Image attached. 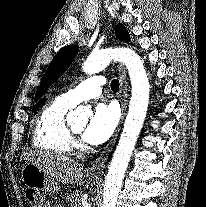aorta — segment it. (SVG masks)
<instances>
[{"instance_id":"aorta-1","label":"aorta","mask_w":206,"mask_h":207,"mask_svg":"<svg viewBox=\"0 0 206 207\" xmlns=\"http://www.w3.org/2000/svg\"><path fill=\"white\" fill-rule=\"evenodd\" d=\"M113 59L126 65L131 80L132 95L123 131L105 178L103 207H115L116 205L123 178L143 126L149 103L147 73L140 57L131 49H103L91 53L83 64V71L87 74L98 73L106 68ZM84 118H87V111L81 106L68 115V121L70 122Z\"/></svg>"}]
</instances>
